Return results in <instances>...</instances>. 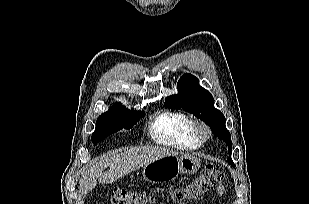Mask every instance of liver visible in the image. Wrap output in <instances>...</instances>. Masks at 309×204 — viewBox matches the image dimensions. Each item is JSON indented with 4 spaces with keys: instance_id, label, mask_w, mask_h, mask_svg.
I'll list each match as a JSON object with an SVG mask.
<instances>
[{
    "instance_id": "liver-1",
    "label": "liver",
    "mask_w": 309,
    "mask_h": 204,
    "mask_svg": "<svg viewBox=\"0 0 309 204\" xmlns=\"http://www.w3.org/2000/svg\"><path fill=\"white\" fill-rule=\"evenodd\" d=\"M178 154L177 151L160 146H142L121 153L105 154L83 172L79 181V192L85 196L97 185V180L102 184H111L150 162ZM107 166L110 169L103 173V169Z\"/></svg>"
}]
</instances>
